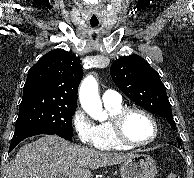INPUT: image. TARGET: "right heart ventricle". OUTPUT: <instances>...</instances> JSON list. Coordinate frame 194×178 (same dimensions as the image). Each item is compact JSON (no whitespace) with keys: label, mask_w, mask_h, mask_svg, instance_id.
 <instances>
[{"label":"right heart ventricle","mask_w":194,"mask_h":178,"mask_svg":"<svg viewBox=\"0 0 194 178\" xmlns=\"http://www.w3.org/2000/svg\"><path fill=\"white\" fill-rule=\"evenodd\" d=\"M105 108L110 115V119L95 126L96 143L95 147L101 150H124L128 147L121 145L114 136L110 120L113 115L124 108L121 102L105 104Z\"/></svg>","instance_id":"obj_1"}]
</instances>
